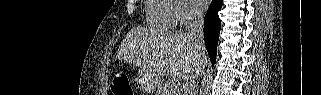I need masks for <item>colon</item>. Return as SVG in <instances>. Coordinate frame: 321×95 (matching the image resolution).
Returning <instances> with one entry per match:
<instances>
[{
  "label": "colon",
  "instance_id": "obj_1",
  "mask_svg": "<svg viewBox=\"0 0 321 95\" xmlns=\"http://www.w3.org/2000/svg\"><path fill=\"white\" fill-rule=\"evenodd\" d=\"M111 90L115 95H133L129 79L125 75H116L111 84Z\"/></svg>",
  "mask_w": 321,
  "mask_h": 95
}]
</instances>
